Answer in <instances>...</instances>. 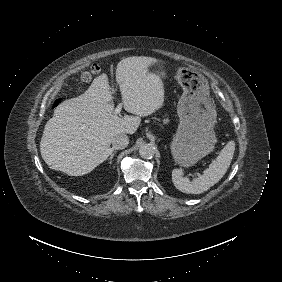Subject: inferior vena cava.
<instances>
[{
	"label": "inferior vena cava",
	"instance_id": "1",
	"mask_svg": "<svg viewBox=\"0 0 282 282\" xmlns=\"http://www.w3.org/2000/svg\"><path fill=\"white\" fill-rule=\"evenodd\" d=\"M128 143L129 138L124 133L117 134L115 137L112 138L113 149H124L127 147Z\"/></svg>",
	"mask_w": 282,
	"mask_h": 282
}]
</instances>
